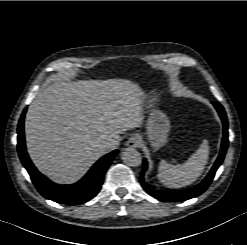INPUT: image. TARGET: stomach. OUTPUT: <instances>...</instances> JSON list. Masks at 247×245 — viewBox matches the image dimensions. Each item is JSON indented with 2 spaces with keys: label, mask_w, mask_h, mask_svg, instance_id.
<instances>
[{
  "label": "stomach",
  "mask_w": 247,
  "mask_h": 245,
  "mask_svg": "<svg viewBox=\"0 0 247 245\" xmlns=\"http://www.w3.org/2000/svg\"><path fill=\"white\" fill-rule=\"evenodd\" d=\"M149 116L146 123L147 137L154 151L165 146L168 142L171 124L168 116L159 109L160 91L152 87L149 95Z\"/></svg>",
  "instance_id": "obj_1"
}]
</instances>
